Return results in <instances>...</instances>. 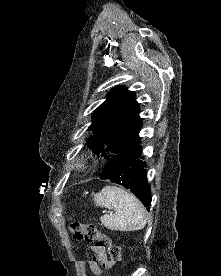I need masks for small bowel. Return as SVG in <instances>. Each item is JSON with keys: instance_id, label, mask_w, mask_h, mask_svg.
Masks as SVG:
<instances>
[{"instance_id": "1", "label": "small bowel", "mask_w": 221, "mask_h": 276, "mask_svg": "<svg viewBox=\"0 0 221 276\" xmlns=\"http://www.w3.org/2000/svg\"><path fill=\"white\" fill-rule=\"evenodd\" d=\"M91 250L93 253V258L89 262V267L92 273L98 276H110L105 272V269L109 268V259L107 257L106 251L99 249L96 246H92ZM98 263H100L101 266Z\"/></svg>"}]
</instances>
